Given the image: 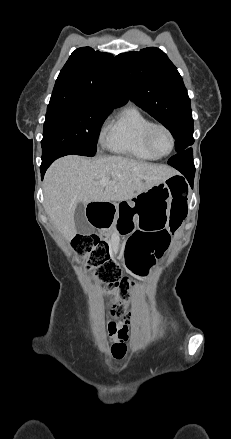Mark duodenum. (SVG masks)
I'll use <instances>...</instances> for the list:
<instances>
[{
    "mask_svg": "<svg viewBox=\"0 0 231 439\" xmlns=\"http://www.w3.org/2000/svg\"><path fill=\"white\" fill-rule=\"evenodd\" d=\"M111 206V203L108 201L103 202H94L91 204V213L89 216V220L91 223L94 222V220H102L105 216V214L108 211V208Z\"/></svg>",
    "mask_w": 231,
    "mask_h": 439,
    "instance_id": "duodenum-1",
    "label": "duodenum"
}]
</instances>
